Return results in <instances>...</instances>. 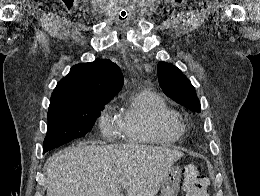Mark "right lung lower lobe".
Wrapping results in <instances>:
<instances>
[{
    "label": "right lung lower lobe",
    "mask_w": 260,
    "mask_h": 196,
    "mask_svg": "<svg viewBox=\"0 0 260 196\" xmlns=\"http://www.w3.org/2000/svg\"><path fill=\"white\" fill-rule=\"evenodd\" d=\"M47 152V150H43V153Z\"/></svg>",
    "instance_id": "obj_1"
}]
</instances>
